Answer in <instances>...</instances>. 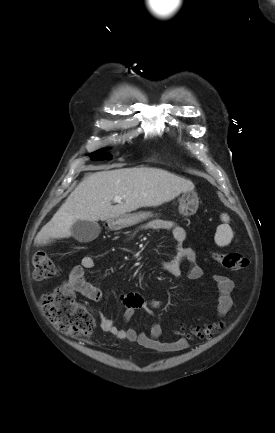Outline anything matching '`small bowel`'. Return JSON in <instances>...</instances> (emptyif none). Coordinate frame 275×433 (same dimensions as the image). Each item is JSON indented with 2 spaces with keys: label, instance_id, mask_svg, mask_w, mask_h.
Wrapping results in <instances>:
<instances>
[{
  "label": "small bowel",
  "instance_id": "c3829d8e",
  "mask_svg": "<svg viewBox=\"0 0 275 433\" xmlns=\"http://www.w3.org/2000/svg\"><path fill=\"white\" fill-rule=\"evenodd\" d=\"M155 227L169 230L176 243V251L174 257L163 263L162 268L170 275H180L182 271V264L187 262L189 269L187 276L191 280H196L202 277L203 270L197 262L196 251L191 247L184 246L186 238L185 231L182 227L174 225L170 222H164ZM96 265L95 259L90 255H85L81 258L78 265L74 266L70 271L65 284L70 286L73 290L84 296L85 298L94 302L102 300V291L95 284L90 282L86 276L85 271L94 268ZM219 297H218V316H224L228 313L232 306L231 293L234 288L233 281L226 275L215 274L213 275ZM123 304L126 306V311L123 315L125 322L130 321L135 312L140 310L146 313H151V304L139 292H132L121 296ZM100 328L118 339L126 340L129 342L137 343L140 346L150 349L159 353H170L184 350L188 347V341L182 336L179 331L175 333L179 336L174 341H161L162 334L161 326L154 322L150 327V333L138 332L135 328L120 329L115 325V322L105 316L101 312H97Z\"/></svg>",
  "mask_w": 275,
  "mask_h": 433
}]
</instances>
